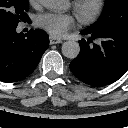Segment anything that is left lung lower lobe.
<instances>
[{"label":"left lung lower lobe","mask_w":128,"mask_h":128,"mask_svg":"<svg viewBox=\"0 0 128 128\" xmlns=\"http://www.w3.org/2000/svg\"><path fill=\"white\" fill-rule=\"evenodd\" d=\"M91 37L79 41V56L70 63V70L82 82L92 86H105L117 81L128 69V28L108 33L81 32ZM98 39L99 44L92 40Z\"/></svg>","instance_id":"0a47b994"}]
</instances>
